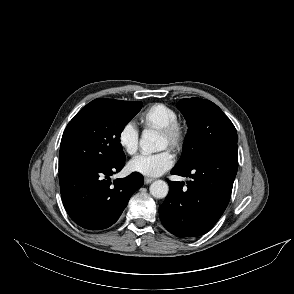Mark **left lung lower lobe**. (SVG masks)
Masks as SVG:
<instances>
[{"mask_svg":"<svg viewBox=\"0 0 294 294\" xmlns=\"http://www.w3.org/2000/svg\"><path fill=\"white\" fill-rule=\"evenodd\" d=\"M238 169L237 143L219 145L187 169L172 174L192 178L169 183V194L159 206L164 227L178 237L207 233L226 209Z\"/></svg>","mask_w":294,"mask_h":294,"instance_id":"obj_1","label":"left lung lower lobe"}]
</instances>
